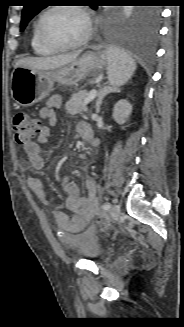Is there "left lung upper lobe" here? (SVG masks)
Returning <instances> with one entry per match:
<instances>
[{
    "label": "left lung upper lobe",
    "instance_id": "1",
    "mask_svg": "<svg viewBox=\"0 0 184 327\" xmlns=\"http://www.w3.org/2000/svg\"><path fill=\"white\" fill-rule=\"evenodd\" d=\"M24 6L21 18V31L27 26L28 22L46 7L43 0H28ZM96 10V6H92Z\"/></svg>",
    "mask_w": 184,
    "mask_h": 327
}]
</instances>
